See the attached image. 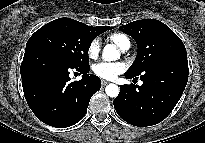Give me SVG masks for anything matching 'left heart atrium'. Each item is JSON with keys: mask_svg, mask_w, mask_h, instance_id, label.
<instances>
[{"mask_svg": "<svg viewBox=\"0 0 205 143\" xmlns=\"http://www.w3.org/2000/svg\"><path fill=\"white\" fill-rule=\"evenodd\" d=\"M125 69L126 66L122 62L107 61L97 62L92 67V70L96 76L109 80L116 78L119 74L124 72Z\"/></svg>", "mask_w": 205, "mask_h": 143, "instance_id": "left-heart-atrium-1", "label": "left heart atrium"}]
</instances>
